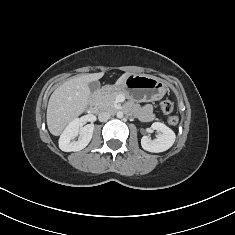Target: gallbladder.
<instances>
[{"mask_svg": "<svg viewBox=\"0 0 235 235\" xmlns=\"http://www.w3.org/2000/svg\"><path fill=\"white\" fill-rule=\"evenodd\" d=\"M88 86L91 92H95L100 88V83L98 81H92Z\"/></svg>", "mask_w": 235, "mask_h": 235, "instance_id": "obj_1", "label": "gallbladder"}]
</instances>
